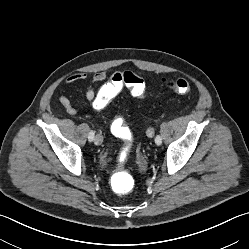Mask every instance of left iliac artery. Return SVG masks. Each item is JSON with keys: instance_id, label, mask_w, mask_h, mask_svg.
I'll return each instance as SVG.
<instances>
[{"instance_id": "obj_1", "label": "left iliac artery", "mask_w": 249, "mask_h": 249, "mask_svg": "<svg viewBox=\"0 0 249 249\" xmlns=\"http://www.w3.org/2000/svg\"><path fill=\"white\" fill-rule=\"evenodd\" d=\"M155 143H156L157 145H160V144L162 143V138H161L159 135H157V136L155 137Z\"/></svg>"}]
</instances>
